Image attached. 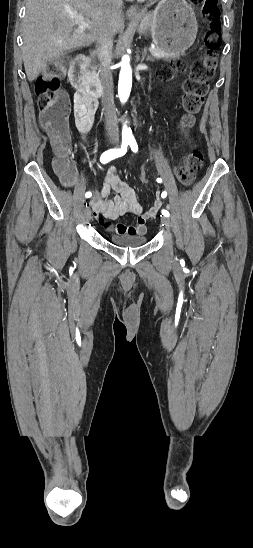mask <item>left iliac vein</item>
<instances>
[{
  "label": "left iliac vein",
  "mask_w": 253,
  "mask_h": 548,
  "mask_svg": "<svg viewBox=\"0 0 253 548\" xmlns=\"http://www.w3.org/2000/svg\"><path fill=\"white\" fill-rule=\"evenodd\" d=\"M161 222L164 224V226L167 230L171 229V220H170V218H168L166 216H163V217H161Z\"/></svg>",
  "instance_id": "obj_1"
}]
</instances>
